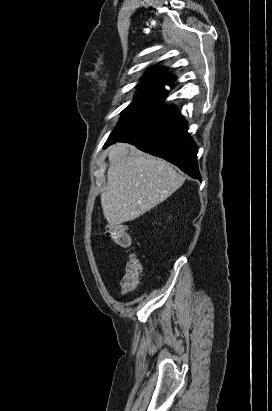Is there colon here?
Wrapping results in <instances>:
<instances>
[{
    "mask_svg": "<svg viewBox=\"0 0 272 411\" xmlns=\"http://www.w3.org/2000/svg\"><path fill=\"white\" fill-rule=\"evenodd\" d=\"M106 235L120 246L129 247L131 245V235L124 225H108L106 227ZM142 270L141 261L136 256H131L125 265L121 278L123 293L131 292L137 288Z\"/></svg>",
    "mask_w": 272,
    "mask_h": 411,
    "instance_id": "1",
    "label": "colon"
}]
</instances>
